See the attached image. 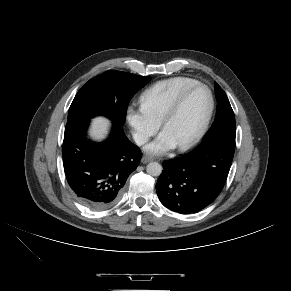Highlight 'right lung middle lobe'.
Wrapping results in <instances>:
<instances>
[{"instance_id": "right-lung-middle-lobe-1", "label": "right lung middle lobe", "mask_w": 291, "mask_h": 291, "mask_svg": "<svg viewBox=\"0 0 291 291\" xmlns=\"http://www.w3.org/2000/svg\"><path fill=\"white\" fill-rule=\"evenodd\" d=\"M151 78L109 70L89 80L75 96L67 122L105 115L123 125L133 95Z\"/></svg>"}]
</instances>
